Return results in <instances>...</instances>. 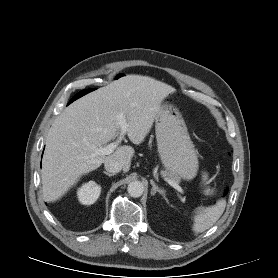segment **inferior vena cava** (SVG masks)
I'll return each instance as SVG.
<instances>
[{
  "instance_id": "1",
  "label": "inferior vena cava",
  "mask_w": 278,
  "mask_h": 278,
  "mask_svg": "<svg viewBox=\"0 0 278 278\" xmlns=\"http://www.w3.org/2000/svg\"><path fill=\"white\" fill-rule=\"evenodd\" d=\"M104 167L108 172L113 173V174L118 173L123 169L122 165L115 160L105 161Z\"/></svg>"
}]
</instances>
